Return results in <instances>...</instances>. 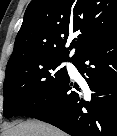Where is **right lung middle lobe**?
<instances>
[{"instance_id": "obj_1", "label": "right lung middle lobe", "mask_w": 117, "mask_h": 136, "mask_svg": "<svg viewBox=\"0 0 117 136\" xmlns=\"http://www.w3.org/2000/svg\"><path fill=\"white\" fill-rule=\"evenodd\" d=\"M67 60L34 55L8 63L3 84L4 117L15 116L30 100L57 87L68 76L66 68L61 67V63Z\"/></svg>"}]
</instances>
